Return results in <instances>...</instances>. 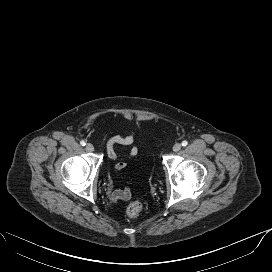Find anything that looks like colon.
<instances>
[{
    "mask_svg": "<svg viewBox=\"0 0 272 272\" xmlns=\"http://www.w3.org/2000/svg\"><path fill=\"white\" fill-rule=\"evenodd\" d=\"M143 205L139 201H134L130 203L126 209V214L129 218L137 217L142 211Z\"/></svg>",
    "mask_w": 272,
    "mask_h": 272,
    "instance_id": "obj_1",
    "label": "colon"
}]
</instances>
